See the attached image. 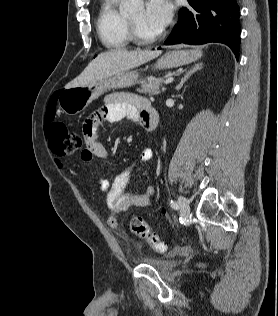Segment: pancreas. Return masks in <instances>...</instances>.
Instances as JSON below:
<instances>
[{"label": "pancreas", "mask_w": 278, "mask_h": 316, "mask_svg": "<svg viewBox=\"0 0 278 316\" xmlns=\"http://www.w3.org/2000/svg\"><path fill=\"white\" fill-rule=\"evenodd\" d=\"M163 80L161 78H148L146 81L141 83V88H138L137 91L139 93L149 94V95H157L160 92V84ZM165 90L164 87L161 89Z\"/></svg>", "instance_id": "pancreas-1"}]
</instances>
